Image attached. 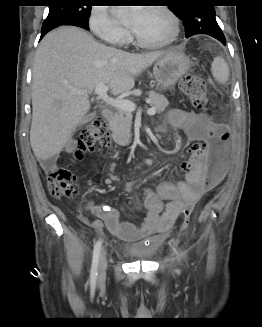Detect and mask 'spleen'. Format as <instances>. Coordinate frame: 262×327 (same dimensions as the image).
I'll list each match as a JSON object with an SVG mask.
<instances>
[{"instance_id": "spleen-1", "label": "spleen", "mask_w": 262, "mask_h": 327, "mask_svg": "<svg viewBox=\"0 0 262 327\" xmlns=\"http://www.w3.org/2000/svg\"><path fill=\"white\" fill-rule=\"evenodd\" d=\"M211 73L216 81L225 83L229 78V68L222 57H215L211 64Z\"/></svg>"}]
</instances>
